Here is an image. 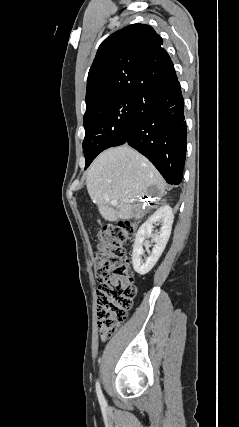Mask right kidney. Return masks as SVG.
<instances>
[{"instance_id":"1","label":"right kidney","mask_w":239,"mask_h":427,"mask_svg":"<svg viewBox=\"0 0 239 427\" xmlns=\"http://www.w3.org/2000/svg\"><path fill=\"white\" fill-rule=\"evenodd\" d=\"M173 219L174 215L172 208L165 205L157 209L156 212L139 228L136 234L132 253L133 268L138 274H147L160 258L169 240ZM156 223L161 224L159 233H153V224ZM147 237H151L155 243L151 252L148 250L149 245L145 242ZM144 245L149 253V257L145 261L142 260Z\"/></svg>"}]
</instances>
